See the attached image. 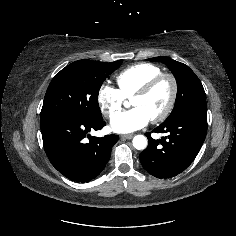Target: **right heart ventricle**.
<instances>
[{
  "label": "right heart ventricle",
  "instance_id": "1",
  "mask_svg": "<svg viewBox=\"0 0 236 236\" xmlns=\"http://www.w3.org/2000/svg\"><path fill=\"white\" fill-rule=\"evenodd\" d=\"M160 67L153 64H136L121 71L116 76L118 90L124 98H131L150 79L161 74Z\"/></svg>",
  "mask_w": 236,
  "mask_h": 236
}]
</instances>
